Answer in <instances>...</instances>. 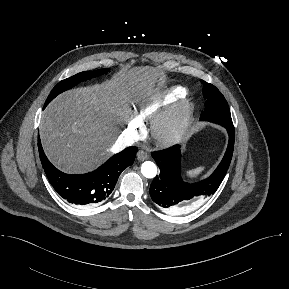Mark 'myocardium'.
<instances>
[{
  "label": "myocardium",
  "instance_id": "myocardium-1",
  "mask_svg": "<svg viewBox=\"0 0 289 289\" xmlns=\"http://www.w3.org/2000/svg\"><path fill=\"white\" fill-rule=\"evenodd\" d=\"M194 105L188 97H181L157 114L150 126L156 142L169 146L180 141L189 129Z\"/></svg>",
  "mask_w": 289,
  "mask_h": 289
}]
</instances>
